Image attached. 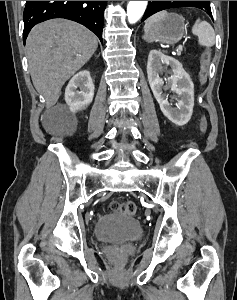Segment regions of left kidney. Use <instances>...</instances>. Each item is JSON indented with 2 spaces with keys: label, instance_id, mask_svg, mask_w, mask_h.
<instances>
[{
  "label": "left kidney",
  "instance_id": "1",
  "mask_svg": "<svg viewBox=\"0 0 237 300\" xmlns=\"http://www.w3.org/2000/svg\"><path fill=\"white\" fill-rule=\"evenodd\" d=\"M162 65H169L173 75L168 77L164 85L163 79H160L159 73L163 71ZM147 75L149 85L153 91V95L160 105V109L171 121L178 127H183L190 121L194 107V85L190 79V75L184 71L181 63L173 57L164 55L161 51H150L147 63ZM172 91L175 93L172 99H177L176 107L170 105L166 93L163 91Z\"/></svg>",
  "mask_w": 237,
  "mask_h": 300
}]
</instances>
